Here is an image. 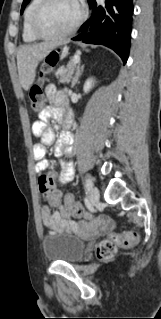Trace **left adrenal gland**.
Instances as JSON below:
<instances>
[{"label":"left adrenal gland","mask_w":161,"mask_h":319,"mask_svg":"<svg viewBox=\"0 0 161 319\" xmlns=\"http://www.w3.org/2000/svg\"><path fill=\"white\" fill-rule=\"evenodd\" d=\"M83 68H84V66L80 67V64L77 66V70H76L75 76H74V78L72 80V85H71L72 88L76 85V83H78V79L82 75Z\"/></svg>","instance_id":"a2214340"}]
</instances>
